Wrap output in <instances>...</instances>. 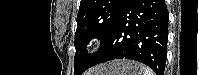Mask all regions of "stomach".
<instances>
[{
	"instance_id": "obj_1",
	"label": "stomach",
	"mask_w": 199,
	"mask_h": 75,
	"mask_svg": "<svg viewBox=\"0 0 199 75\" xmlns=\"http://www.w3.org/2000/svg\"><path fill=\"white\" fill-rule=\"evenodd\" d=\"M139 64L131 61H114L95 67L92 75H139Z\"/></svg>"
}]
</instances>
